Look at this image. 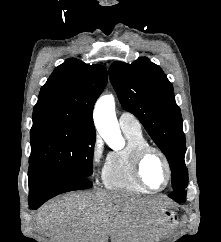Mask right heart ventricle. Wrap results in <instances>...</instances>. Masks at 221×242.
<instances>
[{"instance_id": "e07e8e85", "label": "right heart ventricle", "mask_w": 221, "mask_h": 242, "mask_svg": "<svg viewBox=\"0 0 221 242\" xmlns=\"http://www.w3.org/2000/svg\"><path fill=\"white\" fill-rule=\"evenodd\" d=\"M127 143L124 148L110 152L102 170V178L106 188L134 193H147L136 179L133 172V156L136 150L147 145L142 131L122 129Z\"/></svg>"}]
</instances>
